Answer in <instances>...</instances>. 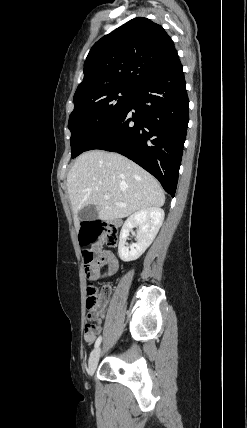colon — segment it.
Wrapping results in <instances>:
<instances>
[{
    "label": "colon",
    "instance_id": "colon-1",
    "mask_svg": "<svg viewBox=\"0 0 247 428\" xmlns=\"http://www.w3.org/2000/svg\"><path fill=\"white\" fill-rule=\"evenodd\" d=\"M99 237H101L104 243L109 247H116L119 242L118 229L112 225L102 224L100 222H88L83 230L82 234L77 235V242L88 245L90 243H99ZM83 260L86 275L90 279L93 278L95 252L93 249L87 248L83 251ZM102 262V260H101ZM109 288L104 286L100 289L91 286L88 288L87 298V309H88V320L93 321L103 314V299L108 295ZM96 329L95 324L87 323L85 326V335H91Z\"/></svg>",
    "mask_w": 247,
    "mask_h": 428
}]
</instances>
